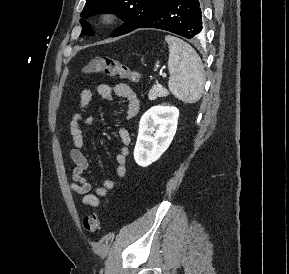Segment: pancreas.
I'll list each match as a JSON object with an SVG mask.
<instances>
[{
  "mask_svg": "<svg viewBox=\"0 0 289 274\" xmlns=\"http://www.w3.org/2000/svg\"><path fill=\"white\" fill-rule=\"evenodd\" d=\"M168 91L166 88L162 87L159 83L153 85L152 89L148 94L149 100H155L158 97H166L168 95Z\"/></svg>",
  "mask_w": 289,
  "mask_h": 274,
  "instance_id": "obj_1",
  "label": "pancreas"
}]
</instances>
